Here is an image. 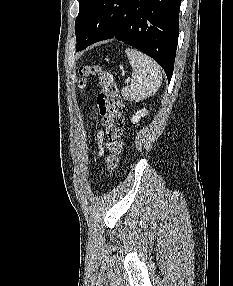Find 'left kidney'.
I'll return each mask as SVG.
<instances>
[{"instance_id":"5707ae66","label":"left kidney","mask_w":233,"mask_h":286,"mask_svg":"<svg viewBox=\"0 0 233 286\" xmlns=\"http://www.w3.org/2000/svg\"><path fill=\"white\" fill-rule=\"evenodd\" d=\"M148 114L147 110L146 109H142V110H139L135 113V115L132 116L131 118V122L133 124L135 123H138L139 120L141 119V117H144Z\"/></svg>"}]
</instances>
